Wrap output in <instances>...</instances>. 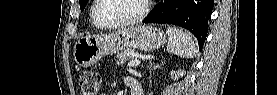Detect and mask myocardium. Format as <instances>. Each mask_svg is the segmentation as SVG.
<instances>
[{
  "instance_id": "obj_1",
  "label": "myocardium",
  "mask_w": 277,
  "mask_h": 95,
  "mask_svg": "<svg viewBox=\"0 0 277 95\" xmlns=\"http://www.w3.org/2000/svg\"><path fill=\"white\" fill-rule=\"evenodd\" d=\"M140 1L142 2V10L137 16L129 19H120L112 22H107L97 17L96 10L98 6L101 4L102 0H96V3L93 5L91 10L92 19L97 25L103 28H113V27H121V26L137 24L140 21H142L149 12V0H140Z\"/></svg>"
}]
</instances>
